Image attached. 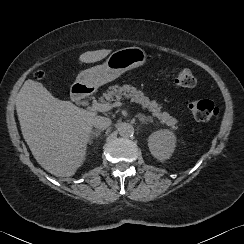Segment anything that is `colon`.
<instances>
[{"instance_id": "5ec220e1", "label": "colon", "mask_w": 244, "mask_h": 244, "mask_svg": "<svg viewBox=\"0 0 244 244\" xmlns=\"http://www.w3.org/2000/svg\"><path fill=\"white\" fill-rule=\"evenodd\" d=\"M166 78L172 80L177 87L191 88L196 84L194 75L188 69L175 68L166 73ZM188 108L194 118L200 122L210 121L220 114V109L209 100L189 101Z\"/></svg>"}]
</instances>
